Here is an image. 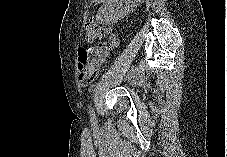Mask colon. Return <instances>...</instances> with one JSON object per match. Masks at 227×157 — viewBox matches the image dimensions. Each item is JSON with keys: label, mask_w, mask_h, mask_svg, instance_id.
I'll return each instance as SVG.
<instances>
[{"label": "colon", "mask_w": 227, "mask_h": 157, "mask_svg": "<svg viewBox=\"0 0 227 157\" xmlns=\"http://www.w3.org/2000/svg\"><path fill=\"white\" fill-rule=\"evenodd\" d=\"M86 38L89 42L100 40L110 30L94 20H90L85 27ZM120 40L116 34H111L106 41H100L97 44L80 48L78 52V73L82 85L90 84L97 73V69L105 62L111 53L119 46Z\"/></svg>", "instance_id": "5ec220e1"}]
</instances>
